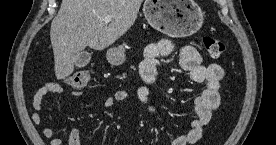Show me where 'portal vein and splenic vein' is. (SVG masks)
I'll use <instances>...</instances> for the list:
<instances>
[{"mask_svg": "<svg viewBox=\"0 0 276 145\" xmlns=\"http://www.w3.org/2000/svg\"><path fill=\"white\" fill-rule=\"evenodd\" d=\"M102 21H103L104 23H109L110 21H112V16H105V17L102 19Z\"/></svg>", "mask_w": 276, "mask_h": 145, "instance_id": "portal-vein-and-splenic-vein-1", "label": "portal vein and splenic vein"}]
</instances>
